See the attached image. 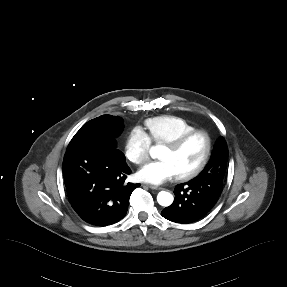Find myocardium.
I'll return each instance as SVG.
<instances>
[{
  "instance_id": "myocardium-1",
  "label": "myocardium",
  "mask_w": 287,
  "mask_h": 287,
  "mask_svg": "<svg viewBox=\"0 0 287 287\" xmlns=\"http://www.w3.org/2000/svg\"><path fill=\"white\" fill-rule=\"evenodd\" d=\"M196 136H202L205 140V150H204L203 156H202L200 162L195 167H193L191 170L177 175V179H179V180L192 179L195 176H197L205 168V166L207 165V163L210 159L211 152H212L211 136L205 130L195 129V130H192V131L182 135L178 139L165 144L166 148H168L174 152H177V151L181 150L191 139H193Z\"/></svg>"
}]
</instances>
